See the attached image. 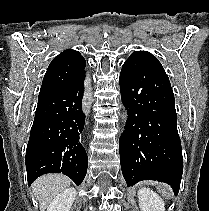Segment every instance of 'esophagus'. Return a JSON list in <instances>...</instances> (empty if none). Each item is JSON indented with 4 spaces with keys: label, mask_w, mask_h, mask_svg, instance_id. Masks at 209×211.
<instances>
[{
    "label": "esophagus",
    "mask_w": 209,
    "mask_h": 211,
    "mask_svg": "<svg viewBox=\"0 0 209 211\" xmlns=\"http://www.w3.org/2000/svg\"><path fill=\"white\" fill-rule=\"evenodd\" d=\"M83 105H84V108H87V99H84Z\"/></svg>",
    "instance_id": "obj_1"
}]
</instances>
